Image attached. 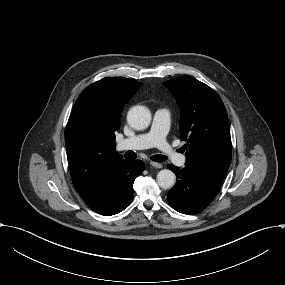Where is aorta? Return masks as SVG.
<instances>
[{"instance_id":"1","label":"aorta","mask_w":285,"mask_h":285,"mask_svg":"<svg viewBox=\"0 0 285 285\" xmlns=\"http://www.w3.org/2000/svg\"><path fill=\"white\" fill-rule=\"evenodd\" d=\"M129 125L136 130H143L150 125L151 112L144 106H134L127 114ZM176 181L175 174L169 169H163L157 174L158 185L163 189H171Z\"/></svg>"}]
</instances>
